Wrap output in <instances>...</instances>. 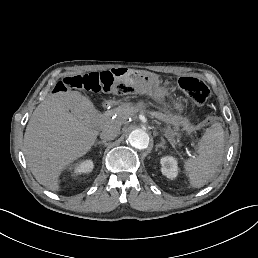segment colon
<instances>
[{
  "label": "colon",
  "mask_w": 258,
  "mask_h": 258,
  "mask_svg": "<svg viewBox=\"0 0 258 258\" xmlns=\"http://www.w3.org/2000/svg\"><path fill=\"white\" fill-rule=\"evenodd\" d=\"M177 85L196 104H203L209 97L208 86L197 78L184 76L177 80ZM68 89L90 91L94 93H113L128 95L138 92L136 85L131 82L115 81L108 71L92 72L83 75L65 77L55 87V92H66ZM219 122L216 117H207L205 123Z\"/></svg>",
  "instance_id": "1"
}]
</instances>
